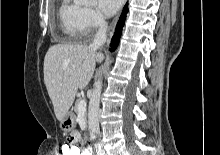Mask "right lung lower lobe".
Wrapping results in <instances>:
<instances>
[{"label": "right lung lower lobe", "mask_w": 220, "mask_h": 155, "mask_svg": "<svg viewBox=\"0 0 220 155\" xmlns=\"http://www.w3.org/2000/svg\"><path fill=\"white\" fill-rule=\"evenodd\" d=\"M127 12H128V3L125 5L123 12L121 14V17L117 23L115 33H114L112 40H111V43H110V51H114L118 46V43H119V40L121 37V33H122V27L124 26Z\"/></svg>", "instance_id": "98d812e1"}]
</instances>
